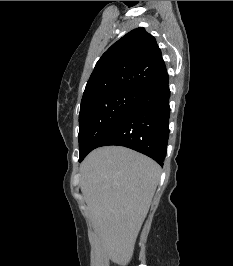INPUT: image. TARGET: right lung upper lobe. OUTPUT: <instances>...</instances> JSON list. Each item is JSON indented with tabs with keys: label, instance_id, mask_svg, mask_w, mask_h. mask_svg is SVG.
Listing matches in <instances>:
<instances>
[{
	"label": "right lung upper lobe",
	"instance_id": "cb5924a9",
	"mask_svg": "<svg viewBox=\"0 0 233 266\" xmlns=\"http://www.w3.org/2000/svg\"><path fill=\"white\" fill-rule=\"evenodd\" d=\"M166 75L155 38L144 28H136L115 42L98 60L81 102L117 90L146 91Z\"/></svg>",
	"mask_w": 233,
	"mask_h": 266
}]
</instances>
